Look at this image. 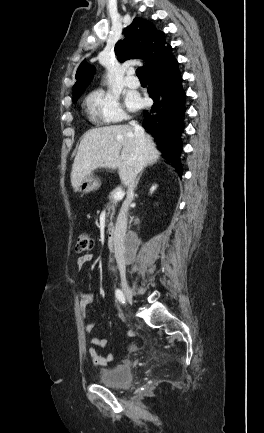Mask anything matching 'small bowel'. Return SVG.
I'll return each instance as SVG.
<instances>
[{
    "mask_svg": "<svg viewBox=\"0 0 264 433\" xmlns=\"http://www.w3.org/2000/svg\"><path fill=\"white\" fill-rule=\"evenodd\" d=\"M93 259V255L92 254H85L80 256L77 259V267L78 269H82L83 266L85 264H87L88 262L92 261ZM79 296V311H80V315L83 319H85L86 317V312H87V308L88 306L93 302L94 300V295L91 293H84V292H79L78 294ZM95 324L94 323H87L84 326V329L87 333H92L95 329ZM126 335L128 337L132 336L131 332H127ZM90 342L92 344V347L89 349V355L93 361L94 364L96 365H100V366H104L108 363H110L111 361H113L114 359V355L113 354H108L106 356H101L97 349L98 348H103L106 346L107 344V340L105 338L102 337H98V336H93L90 339Z\"/></svg>",
    "mask_w": 264,
    "mask_h": 433,
    "instance_id": "c3829d8e",
    "label": "small bowel"
}]
</instances>
